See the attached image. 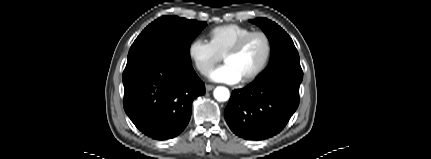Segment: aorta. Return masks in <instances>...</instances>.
I'll use <instances>...</instances> for the list:
<instances>
[{
    "label": "aorta",
    "instance_id": "aorta-1",
    "mask_svg": "<svg viewBox=\"0 0 431 159\" xmlns=\"http://www.w3.org/2000/svg\"><path fill=\"white\" fill-rule=\"evenodd\" d=\"M214 97L220 102L227 101L230 97L229 90L225 87L219 86L214 90Z\"/></svg>",
    "mask_w": 431,
    "mask_h": 159
}]
</instances>
